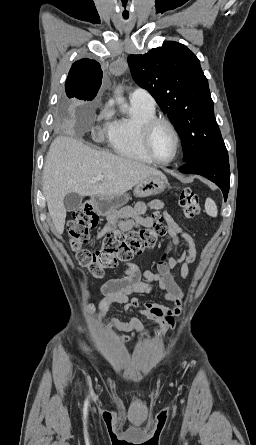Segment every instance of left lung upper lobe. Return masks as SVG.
I'll return each instance as SVG.
<instances>
[{
    "mask_svg": "<svg viewBox=\"0 0 256 445\" xmlns=\"http://www.w3.org/2000/svg\"><path fill=\"white\" fill-rule=\"evenodd\" d=\"M128 64L135 82L149 91L174 123L184 162L227 151L214 117L207 78L192 51L169 41L144 55H130Z\"/></svg>",
    "mask_w": 256,
    "mask_h": 445,
    "instance_id": "obj_1",
    "label": "left lung upper lobe"
}]
</instances>
